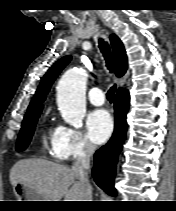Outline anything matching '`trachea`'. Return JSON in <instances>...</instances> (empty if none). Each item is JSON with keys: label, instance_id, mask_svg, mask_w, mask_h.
<instances>
[{"label": "trachea", "instance_id": "1", "mask_svg": "<svg viewBox=\"0 0 176 211\" xmlns=\"http://www.w3.org/2000/svg\"><path fill=\"white\" fill-rule=\"evenodd\" d=\"M99 48L106 60V66L109 69L110 72H112V55L110 51V46L107 42H105L103 39H99ZM116 91V85H113L107 92V99L112 102L114 98V93Z\"/></svg>", "mask_w": 176, "mask_h": 211}]
</instances>
